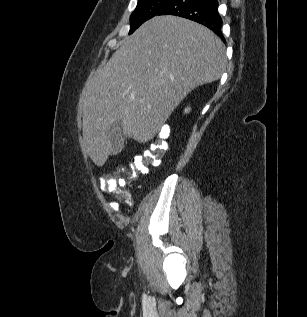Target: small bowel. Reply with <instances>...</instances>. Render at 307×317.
Masks as SVG:
<instances>
[{
    "label": "small bowel",
    "instance_id": "small-bowel-1",
    "mask_svg": "<svg viewBox=\"0 0 307 317\" xmlns=\"http://www.w3.org/2000/svg\"><path fill=\"white\" fill-rule=\"evenodd\" d=\"M131 201V197L128 193H126V200L124 202L129 203ZM109 207L116 213L120 212L119 203L115 201H110L108 203Z\"/></svg>",
    "mask_w": 307,
    "mask_h": 317
}]
</instances>
